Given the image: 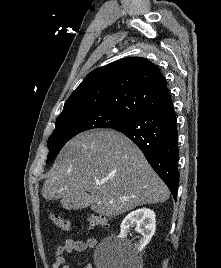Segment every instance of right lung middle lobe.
Segmentation results:
<instances>
[{"instance_id":"1","label":"right lung middle lobe","mask_w":221,"mask_h":268,"mask_svg":"<svg viewBox=\"0 0 221 268\" xmlns=\"http://www.w3.org/2000/svg\"><path fill=\"white\" fill-rule=\"evenodd\" d=\"M128 120L127 117L106 109L60 114L48 139L49 154L46 163L54 159L61 148L78 133L95 128H112Z\"/></svg>"}]
</instances>
